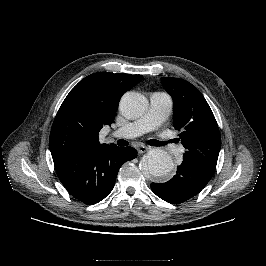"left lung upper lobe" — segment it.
Masks as SVG:
<instances>
[{"instance_id": "5c2ea615", "label": "left lung upper lobe", "mask_w": 266, "mask_h": 266, "mask_svg": "<svg viewBox=\"0 0 266 266\" xmlns=\"http://www.w3.org/2000/svg\"><path fill=\"white\" fill-rule=\"evenodd\" d=\"M161 81L173 99V126L181 132L179 136L186 149L183 162L213 175L221 137L207 101L195 86L185 80L162 77Z\"/></svg>"}]
</instances>
